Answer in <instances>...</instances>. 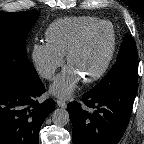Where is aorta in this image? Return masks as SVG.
Returning <instances> with one entry per match:
<instances>
[{
    "label": "aorta",
    "mask_w": 144,
    "mask_h": 144,
    "mask_svg": "<svg viewBox=\"0 0 144 144\" xmlns=\"http://www.w3.org/2000/svg\"><path fill=\"white\" fill-rule=\"evenodd\" d=\"M52 121L57 126H65L69 123V113L65 109H55L52 113Z\"/></svg>",
    "instance_id": "aorta-1"
}]
</instances>
